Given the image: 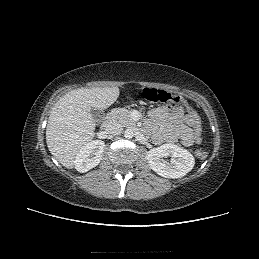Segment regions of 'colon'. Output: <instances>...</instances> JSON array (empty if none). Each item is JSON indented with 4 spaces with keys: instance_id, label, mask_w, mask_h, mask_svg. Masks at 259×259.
Here are the masks:
<instances>
[{
    "instance_id": "colon-1",
    "label": "colon",
    "mask_w": 259,
    "mask_h": 259,
    "mask_svg": "<svg viewBox=\"0 0 259 259\" xmlns=\"http://www.w3.org/2000/svg\"><path fill=\"white\" fill-rule=\"evenodd\" d=\"M143 97L151 103H175L177 105L186 104L183 96L155 88L144 89ZM188 113L190 114V122L194 129L193 141L196 144L201 145V141L203 140V129L202 123L199 120L198 111L194 107H191L188 110ZM196 155L199 159H205L208 156V151L205 148H200L197 150Z\"/></svg>"
}]
</instances>
